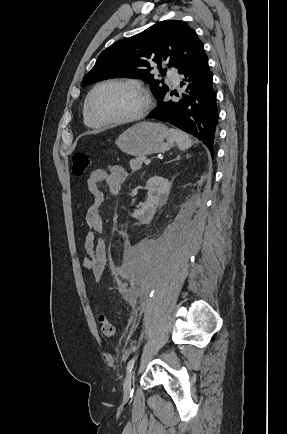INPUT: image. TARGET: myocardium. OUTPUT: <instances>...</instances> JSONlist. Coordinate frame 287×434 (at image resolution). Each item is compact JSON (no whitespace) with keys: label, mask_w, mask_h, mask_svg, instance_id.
<instances>
[{"label":"myocardium","mask_w":287,"mask_h":434,"mask_svg":"<svg viewBox=\"0 0 287 434\" xmlns=\"http://www.w3.org/2000/svg\"><path fill=\"white\" fill-rule=\"evenodd\" d=\"M111 84L123 85V86H127V87H130V88L137 90L142 95V97L144 99V105L140 109V111L137 112L136 114L132 115V116L122 118V119H101V118H98L92 110V105H91L92 98H93L94 94L96 93V91L99 90L101 87L106 86V85H111ZM151 106H152V99H151L150 93H149L148 89L141 82L136 81V80H132V79H120V78H111V79H107V80H104V81L96 84L89 92V94L86 98V101H85V110H86L88 116L90 117V119L93 122H95L99 126L124 125V124L137 122V121L143 119L148 114V112L151 109Z\"/></svg>","instance_id":"f54148a6"}]
</instances>
